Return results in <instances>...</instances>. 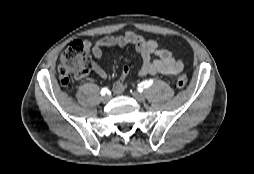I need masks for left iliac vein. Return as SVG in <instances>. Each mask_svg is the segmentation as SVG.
Segmentation results:
<instances>
[{
    "instance_id": "left-iliac-vein-1",
    "label": "left iliac vein",
    "mask_w": 254,
    "mask_h": 174,
    "mask_svg": "<svg viewBox=\"0 0 254 174\" xmlns=\"http://www.w3.org/2000/svg\"><path fill=\"white\" fill-rule=\"evenodd\" d=\"M133 98L137 101V102H144L146 100V97L143 93H140V92H134L132 94Z\"/></svg>"
}]
</instances>
